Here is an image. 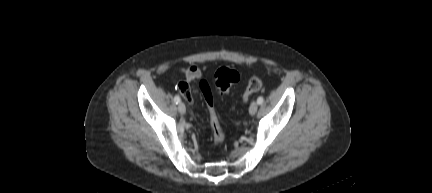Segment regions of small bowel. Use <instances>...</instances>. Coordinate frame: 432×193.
<instances>
[{
  "instance_id": "1",
  "label": "small bowel",
  "mask_w": 432,
  "mask_h": 193,
  "mask_svg": "<svg viewBox=\"0 0 432 193\" xmlns=\"http://www.w3.org/2000/svg\"><path fill=\"white\" fill-rule=\"evenodd\" d=\"M184 78L185 80L178 84V89L180 93L186 98V100L192 104L193 97L190 91L189 83L201 80V71L195 66L189 67L184 71Z\"/></svg>"
}]
</instances>
